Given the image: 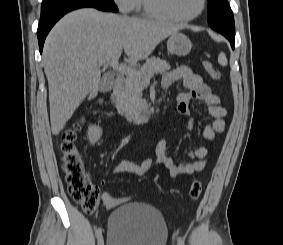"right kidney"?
I'll return each instance as SVG.
<instances>
[{"mask_svg":"<svg viewBox=\"0 0 283 245\" xmlns=\"http://www.w3.org/2000/svg\"><path fill=\"white\" fill-rule=\"evenodd\" d=\"M102 135V129L98 126H90L88 128V138L91 144L96 143Z\"/></svg>","mask_w":283,"mask_h":245,"instance_id":"obj_1","label":"right kidney"}]
</instances>
